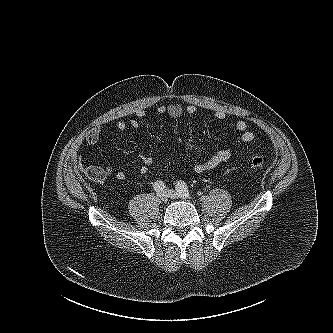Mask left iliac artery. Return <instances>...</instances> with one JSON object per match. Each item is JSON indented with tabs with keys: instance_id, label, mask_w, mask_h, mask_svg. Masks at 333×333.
<instances>
[{
	"instance_id": "1",
	"label": "left iliac artery",
	"mask_w": 333,
	"mask_h": 333,
	"mask_svg": "<svg viewBox=\"0 0 333 333\" xmlns=\"http://www.w3.org/2000/svg\"><path fill=\"white\" fill-rule=\"evenodd\" d=\"M176 191L183 197V198H187L190 197V192L189 189L186 185V183H184L183 181H178L176 184Z\"/></svg>"
}]
</instances>
